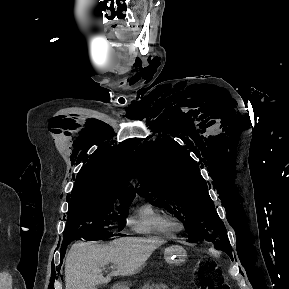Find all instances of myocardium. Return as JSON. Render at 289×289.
Wrapping results in <instances>:
<instances>
[{
	"label": "myocardium",
	"mask_w": 289,
	"mask_h": 289,
	"mask_svg": "<svg viewBox=\"0 0 289 289\" xmlns=\"http://www.w3.org/2000/svg\"><path fill=\"white\" fill-rule=\"evenodd\" d=\"M174 225H175L177 230H182L184 227L183 223L176 217L174 219Z\"/></svg>",
	"instance_id": "obj_1"
}]
</instances>
